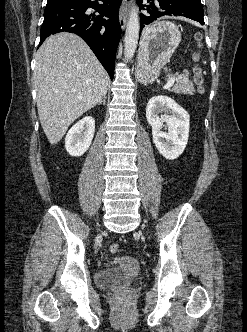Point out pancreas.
I'll list each match as a JSON object with an SVG mask.
<instances>
[{
	"label": "pancreas",
	"mask_w": 247,
	"mask_h": 332,
	"mask_svg": "<svg viewBox=\"0 0 247 332\" xmlns=\"http://www.w3.org/2000/svg\"><path fill=\"white\" fill-rule=\"evenodd\" d=\"M172 77H176V83L171 91L180 94L193 95L195 90L193 83L189 80L188 74L175 73L174 75H168V79Z\"/></svg>",
	"instance_id": "1"
}]
</instances>
